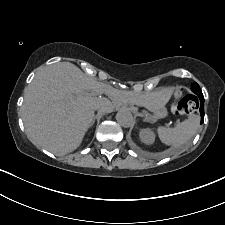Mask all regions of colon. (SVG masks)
I'll return each instance as SVG.
<instances>
[{"label":"colon","instance_id":"1","mask_svg":"<svg viewBox=\"0 0 225 225\" xmlns=\"http://www.w3.org/2000/svg\"><path fill=\"white\" fill-rule=\"evenodd\" d=\"M175 102L173 104V111L181 115H193L198 111V99L193 95H184L182 87L174 89Z\"/></svg>","mask_w":225,"mask_h":225}]
</instances>
